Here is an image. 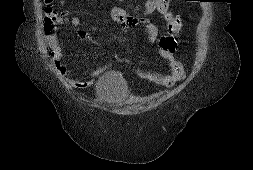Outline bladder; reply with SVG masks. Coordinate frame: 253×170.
I'll list each match as a JSON object with an SVG mask.
<instances>
[{
    "instance_id": "obj_1",
    "label": "bladder",
    "mask_w": 253,
    "mask_h": 170,
    "mask_svg": "<svg viewBox=\"0 0 253 170\" xmlns=\"http://www.w3.org/2000/svg\"><path fill=\"white\" fill-rule=\"evenodd\" d=\"M129 93L128 84L117 71L104 73L96 82V94L105 103L117 105L125 101Z\"/></svg>"
}]
</instances>
